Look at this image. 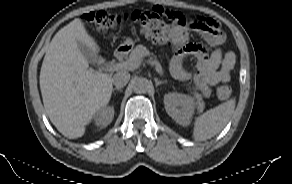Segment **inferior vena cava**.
<instances>
[{
	"mask_svg": "<svg viewBox=\"0 0 292 184\" xmlns=\"http://www.w3.org/2000/svg\"><path fill=\"white\" fill-rule=\"evenodd\" d=\"M129 80L130 74L127 71H119L112 78V82L117 88H123Z\"/></svg>",
	"mask_w": 292,
	"mask_h": 184,
	"instance_id": "1",
	"label": "inferior vena cava"
}]
</instances>
